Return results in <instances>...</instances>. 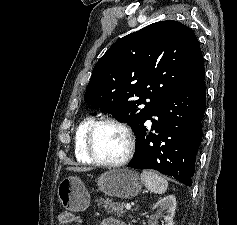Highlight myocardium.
<instances>
[{"label":"myocardium","mask_w":237,"mask_h":225,"mask_svg":"<svg viewBox=\"0 0 237 225\" xmlns=\"http://www.w3.org/2000/svg\"><path fill=\"white\" fill-rule=\"evenodd\" d=\"M102 125H113V126L118 127L124 132L127 139V150L121 159L116 160V161H106L97 156L94 150V135L97 129ZM85 151H86V154L89 156V158L92 160V162L98 165L106 166V167H120L127 164L134 154L135 136L133 134V131L127 124L115 118H110V117L100 118L91 124V126L89 127L86 133Z\"/></svg>","instance_id":"1"}]
</instances>
